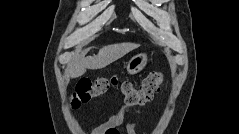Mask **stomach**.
<instances>
[{"mask_svg":"<svg viewBox=\"0 0 239 134\" xmlns=\"http://www.w3.org/2000/svg\"><path fill=\"white\" fill-rule=\"evenodd\" d=\"M148 56L146 53H140L133 56L127 64V72L129 74H137L147 65Z\"/></svg>","mask_w":239,"mask_h":134,"instance_id":"stomach-1","label":"stomach"}]
</instances>
